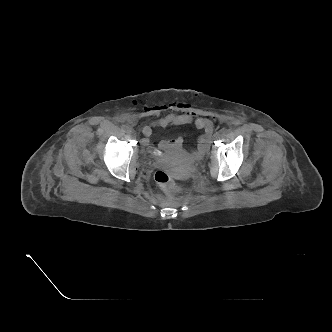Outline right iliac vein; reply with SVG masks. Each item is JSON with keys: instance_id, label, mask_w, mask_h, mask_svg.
<instances>
[{"instance_id": "63e3f726", "label": "right iliac vein", "mask_w": 332, "mask_h": 332, "mask_svg": "<svg viewBox=\"0 0 332 332\" xmlns=\"http://www.w3.org/2000/svg\"><path fill=\"white\" fill-rule=\"evenodd\" d=\"M128 132H129L130 134H134V131H133L132 129H129Z\"/></svg>"}]
</instances>
